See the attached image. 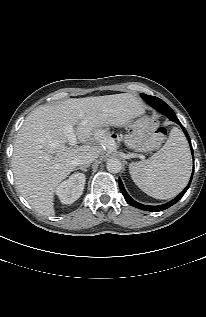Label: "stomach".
I'll return each mask as SVG.
<instances>
[{
    "mask_svg": "<svg viewBox=\"0 0 206 317\" xmlns=\"http://www.w3.org/2000/svg\"><path fill=\"white\" fill-rule=\"evenodd\" d=\"M125 144L136 151L147 152L153 149L151 142L152 127L147 117L130 121L126 126ZM113 128L109 124H100L92 130V139L96 143H106L113 137Z\"/></svg>",
    "mask_w": 206,
    "mask_h": 317,
    "instance_id": "stomach-1",
    "label": "stomach"
}]
</instances>
